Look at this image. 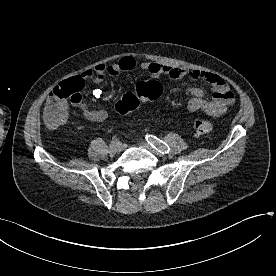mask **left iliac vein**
Returning a JSON list of instances; mask_svg holds the SVG:
<instances>
[{
    "instance_id": "1",
    "label": "left iliac vein",
    "mask_w": 276,
    "mask_h": 276,
    "mask_svg": "<svg viewBox=\"0 0 276 276\" xmlns=\"http://www.w3.org/2000/svg\"><path fill=\"white\" fill-rule=\"evenodd\" d=\"M139 145L142 148H145V149L149 150L150 152H152L155 155H161V153L158 150H156L154 147H152L151 145H149L145 142H140Z\"/></svg>"
}]
</instances>
